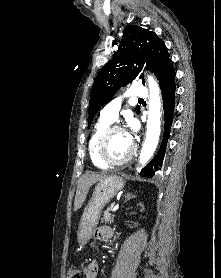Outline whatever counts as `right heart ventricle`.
<instances>
[{
	"label": "right heart ventricle",
	"mask_w": 221,
	"mask_h": 278,
	"mask_svg": "<svg viewBox=\"0 0 221 278\" xmlns=\"http://www.w3.org/2000/svg\"><path fill=\"white\" fill-rule=\"evenodd\" d=\"M110 125H111V122L105 120L104 118H100V120L94 126L92 133L90 135L89 141H88V152H89L90 159H91L93 165H95L98 168H102V169H105L108 166L105 165L99 159L98 154H97V145H98L100 136L105 131V129L107 127H109Z\"/></svg>",
	"instance_id": "right-heart-ventricle-1"
}]
</instances>
